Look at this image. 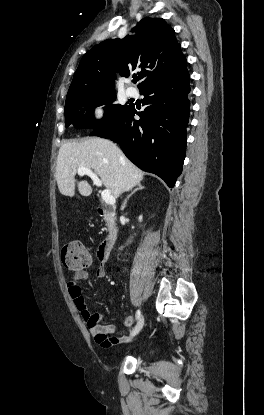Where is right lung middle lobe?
Instances as JSON below:
<instances>
[{"mask_svg": "<svg viewBox=\"0 0 264 415\" xmlns=\"http://www.w3.org/2000/svg\"><path fill=\"white\" fill-rule=\"evenodd\" d=\"M116 99L115 92L101 94H84L66 99L65 102V125L73 124L76 128L95 129L113 121L119 114L126 110L128 105L113 104ZM105 106L103 119L96 120L94 108Z\"/></svg>", "mask_w": 264, "mask_h": 415, "instance_id": "dd1d6c3e", "label": "right lung middle lobe"}]
</instances>
